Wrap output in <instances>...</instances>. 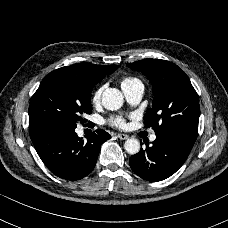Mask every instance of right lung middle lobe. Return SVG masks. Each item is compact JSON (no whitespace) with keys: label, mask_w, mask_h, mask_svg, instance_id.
Masks as SVG:
<instances>
[{"label":"right lung middle lobe","mask_w":228,"mask_h":228,"mask_svg":"<svg viewBox=\"0 0 228 228\" xmlns=\"http://www.w3.org/2000/svg\"><path fill=\"white\" fill-rule=\"evenodd\" d=\"M97 81L85 74L66 69L49 73L33 95L29 107L30 130L49 124L76 127L90 114L91 91Z\"/></svg>","instance_id":"right-lung-middle-lobe-1"}]
</instances>
